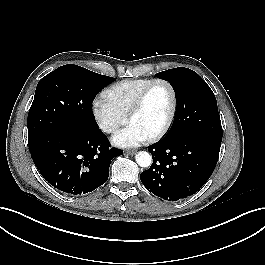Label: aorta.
<instances>
[{
	"mask_svg": "<svg viewBox=\"0 0 265 265\" xmlns=\"http://www.w3.org/2000/svg\"><path fill=\"white\" fill-rule=\"evenodd\" d=\"M136 163L140 167H149L152 164V157L151 155L146 151H140L135 156Z\"/></svg>",
	"mask_w": 265,
	"mask_h": 265,
	"instance_id": "762f6f07",
	"label": "aorta"
}]
</instances>
